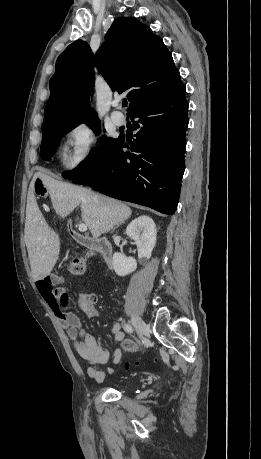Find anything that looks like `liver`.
Returning <instances> with one entry per match:
<instances>
[{"mask_svg":"<svg viewBox=\"0 0 261 459\" xmlns=\"http://www.w3.org/2000/svg\"><path fill=\"white\" fill-rule=\"evenodd\" d=\"M36 178H40L47 188L52 206L59 217H66L80 205L82 220L96 242L102 234L125 222L132 213L130 207L116 199L56 180L45 170L35 173L29 188L25 226V241L34 281L51 273L60 253L59 235L42 217L34 197Z\"/></svg>","mask_w":261,"mask_h":459,"instance_id":"liver-1","label":"liver"}]
</instances>
